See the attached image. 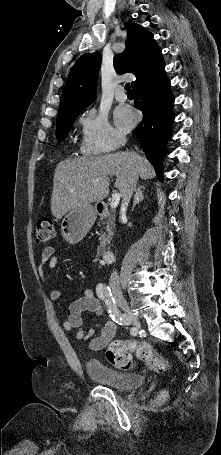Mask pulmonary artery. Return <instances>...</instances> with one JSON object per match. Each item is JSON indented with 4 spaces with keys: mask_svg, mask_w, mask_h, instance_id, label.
<instances>
[{
    "mask_svg": "<svg viewBox=\"0 0 221 455\" xmlns=\"http://www.w3.org/2000/svg\"><path fill=\"white\" fill-rule=\"evenodd\" d=\"M114 97L118 102H125L127 100V95L122 86H118L114 91Z\"/></svg>",
    "mask_w": 221,
    "mask_h": 455,
    "instance_id": "1",
    "label": "pulmonary artery"
}]
</instances>
